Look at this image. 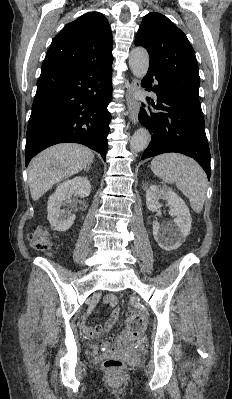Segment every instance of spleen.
Wrapping results in <instances>:
<instances>
[{
    "instance_id": "obj_1",
    "label": "spleen",
    "mask_w": 232,
    "mask_h": 399,
    "mask_svg": "<svg viewBox=\"0 0 232 399\" xmlns=\"http://www.w3.org/2000/svg\"><path fill=\"white\" fill-rule=\"evenodd\" d=\"M155 176L166 184H175L188 198L196 213L203 209L207 194V176L201 166L182 154H162L151 162Z\"/></svg>"
}]
</instances>
